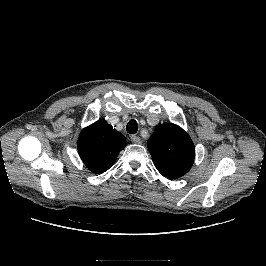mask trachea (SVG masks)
I'll use <instances>...</instances> for the list:
<instances>
[{
  "instance_id": "trachea-1",
  "label": "trachea",
  "mask_w": 266,
  "mask_h": 266,
  "mask_svg": "<svg viewBox=\"0 0 266 266\" xmlns=\"http://www.w3.org/2000/svg\"><path fill=\"white\" fill-rule=\"evenodd\" d=\"M126 131L130 134H135L138 131V124L135 120H130L126 126Z\"/></svg>"
}]
</instances>
